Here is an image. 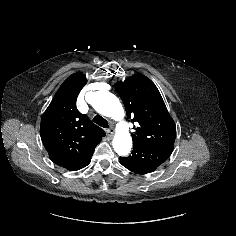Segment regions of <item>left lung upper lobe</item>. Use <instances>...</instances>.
Masks as SVG:
<instances>
[{
    "mask_svg": "<svg viewBox=\"0 0 236 236\" xmlns=\"http://www.w3.org/2000/svg\"><path fill=\"white\" fill-rule=\"evenodd\" d=\"M115 89L124 103L127 118L136 124L133 144L174 145L175 123L160 92L149 78L133 75L124 82L116 83Z\"/></svg>",
    "mask_w": 236,
    "mask_h": 236,
    "instance_id": "1",
    "label": "left lung upper lobe"
}]
</instances>
